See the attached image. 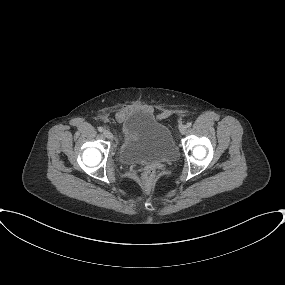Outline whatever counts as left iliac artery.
<instances>
[{"label": "left iliac artery", "instance_id": "44dca946", "mask_svg": "<svg viewBox=\"0 0 285 285\" xmlns=\"http://www.w3.org/2000/svg\"><path fill=\"white\" fill-rule=\"evenodd\" d=\"M192 126V123L191 122H188L187 123V127H191Z\"/></svg>", "mask_w": 285, "mask_h": 285}]
</instances>
